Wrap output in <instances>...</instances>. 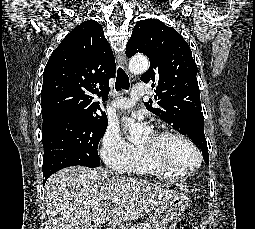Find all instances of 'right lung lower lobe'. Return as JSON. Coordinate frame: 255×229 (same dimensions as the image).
Returning a JSON list of instances; mask_svg holds the SVG:
<instances>
[{"instance_id":"98d812e1","label":"right lung lower lobe","mask_w":255,"mask_h":229,"mask_svg":"<svg viewBox=\"0 0 255 229\" xmlns=\"http://www.w3.org/2000/svg\"><path fill=\"white\" fill-rule=\"evenodd\" d=\"M43 176L45 177V179H44V181H43V183L45 184L47 178H48L50 175H43Z\"/></svg>"}]
</instances>
